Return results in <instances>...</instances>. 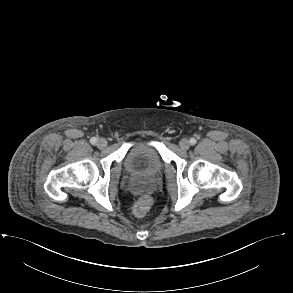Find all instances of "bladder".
Segmentation results:
<instances>
[{"label":"bladder","mask_w":293,"mask_h":293,"mask_svg":"<svg viewBox=\"0 0 293 293\" xmlns=\"http://www.w3.org/2000/svg\"><path fill=\"white\" fill-rule=\"evenodd\" d=\"M126 171L137 179L154 182L163 172L164 164L158 150L142 143L131 148L125 158Z\"/></svg>","instance_id":"31cf9c89"}]
</instances>
